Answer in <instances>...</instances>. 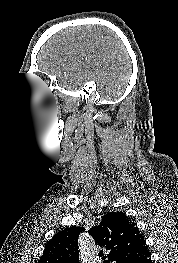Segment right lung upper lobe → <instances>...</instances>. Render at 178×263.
Wrapping results in <instances>:
<instances>
[{
    "label": "right lung upper lobe",
    "instance_id": "obj_1",
    "mask_svg": "<svg viewBox=\"0 0 178 263\" xmlns=\"http://www.w3.org/2000/svg\"><path fill=\"white\" fill-rule=\"evenodd\" d=\"M83 230L74 226L57 233L45 245L38 263H79L78 236ZM88 233L106 250L111 263H136L149 252L136 224L122 212L104 215L101 223ZM99 256L105 258L102 250Z\"/></svg>",
    "mask_w": 178,
    "mask_h": 263
}]
</instances>
